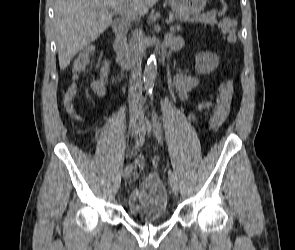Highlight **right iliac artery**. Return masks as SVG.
<instances>
[{
	"mask_svg": "<svg viewBox=\"0 0 295 250\" xmlns=\"http://www.w3.org/2000/svg\"><path fill=\"white\" fill-rule=\"evenodd\" d=\"M136 135H137V137H136V143H135L134 151H135L136 154H139L140 153L139 148H142V143H140V142H142L144 140V133L141 132V131H137ZM131 171H132V166L127 165L125 167V172H131Z\"/></svg>",
	"mask_w": 295,
	"mask_h": 250,
	"instance_id": "obj_1",
	"label": "right iliac artery"
}]
</instances>
